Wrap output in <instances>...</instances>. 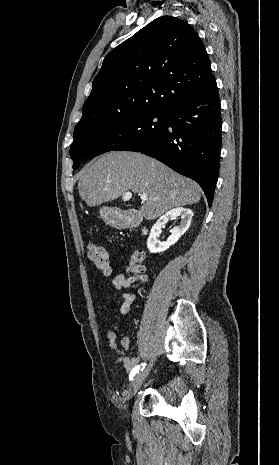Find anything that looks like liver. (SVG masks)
Instances as JSON below:
<instances>
[{"instance_id": "1", "label": "liver", "mask_w": 279, "mask_h": 465, "mask_svg": "<svg viewBox=\"0 0 279 465\" xmlns=\"http://www.w3.org/2000/svg\"><path fill=\"white\" fill-rule=\"evenodd\" d=\"M79 195L94 207L125 195L146 193L138 214L154 220L167 211L199 202L201 188L151 157L137 152L112 151L89 162L80 172ZM157 198L158 200H153Z\"/></svg>"}]
</instances>
